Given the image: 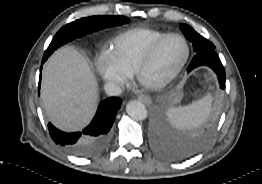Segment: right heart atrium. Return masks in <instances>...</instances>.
<instances>
[{"label":"right heart atrium","mask_w":262,"mask_h":184,"mask_svg":"<svg viewBox=\"0 0 262 184\" xmlns=\"http://www.w3.org/2000/svg\"><path fill=\"white\" fill-rule=\"evenodd\" d=\"M95 70L104 84L108 86H120L127 81L129 76L108 52H103L97 58Z\"/></svg>","instance_id":"obj_1"}]
</instances>
